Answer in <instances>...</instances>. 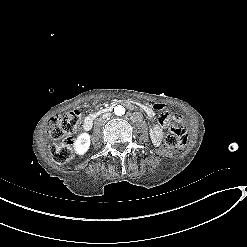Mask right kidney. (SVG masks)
I'll return each mask as SVG.
<instances>
[{"mask_svg":"<svg viewBox=\"0 0 247 247\" xmlns=\"http://www.w3.org/2000/svg\"><path fill=\"white\" fill-rule=\"evenodd\" d=\"M90 147V135L88 133L80 134L74 142V149L78 155H84Z\"/></svg>","mask_w":247,"mask_h":247,"instance_id":"1","label":"right kidney"}]
</instances>
